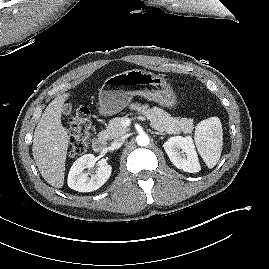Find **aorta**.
<instances>
[{
  "label": "aorta",
  "mask_w": 269,
  "mask_h": 269,
  "mask_svg": "<svg viewBox=\"0 0 269 269\" xmlns=\"http://www.w3.org/2000/svg\"><path fill=\"white\" fill-rule=\"evenodd\" d=\"M137 144L139 146H147L150 142V139L147 134H140L136 137Z\"/></svg>",
  "instance_id": "obj_1"
}]
</instances>
